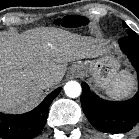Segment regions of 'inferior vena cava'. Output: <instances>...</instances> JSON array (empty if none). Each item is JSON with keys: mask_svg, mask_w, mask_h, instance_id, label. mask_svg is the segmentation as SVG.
Segmentation results:
<instances>
[{"mask_svg": "<svg viewBox=\"0 0 139 139\" xmlns=\"http://www.w3.org/2000/svg\"><path fill=\"white\" fill-rule=\"evenodd\" d=\"M54 84V79L51 76L43 77L39 81V87L44 89Z\"/></svg>", "mask_w": 139, "mask_h": 139, "instance_id": "obj_1", "label": "inferior vena cava"}]
</instances>
